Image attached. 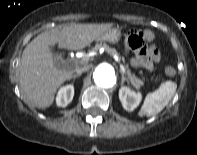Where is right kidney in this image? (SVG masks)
Instances as JSON below:
<instances>
[{
    "instance_id": "obj_1",
    "label": "right kidney",
    "mask_w": 197,
    "mask_h": 155,
    "mask_svg": "<svg viewBox=\"0 0 197 155\" xmlns=\"http://www.w3.org/2000/svg\"><path fill=\"white\" fill-rule=\"evenodd\" d=\"M74 97V86L69 84L59 89L56 104L58 107H66Z\"/></svg>"
}]
</instances>
